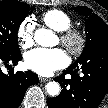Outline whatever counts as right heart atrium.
Instances as JSON below:
<instances>
[{
	"label": "right heart atrium",
	"instance_id": "d8ad5b80",
	"mask_svg": "<svg viewBox=\"0 0 108 108\" xmlns=\"http://www.w3.org/2000/svg\"><path fill=\"white\" fill-rule=\"evenodd\" d=\"M35 22L31 17L24 19L17 29V40L21 48L26 49L34 43Z\"/></svg>",
	"mask_w": 108,
	"mask_h": 108
}]
</instances>
